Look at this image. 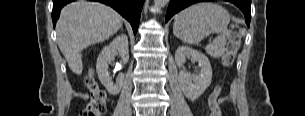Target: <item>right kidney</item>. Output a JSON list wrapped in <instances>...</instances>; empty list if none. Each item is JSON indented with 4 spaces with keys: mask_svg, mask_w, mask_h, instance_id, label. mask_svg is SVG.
I'll return each instance as SVG.
<instances>
[{
    "mask_svg": "<svg viewBox=\"0 0 305 116\" xmlns=\"http://www.w3.org/2000/svg\"><path fill=\"white\" fill-rule=\"evenodd\" d=\"M117 53H119L122 63L126 64L129 60L128 38L126 35L117 36L109 45L105 46L96 63L99 80L112 95L120 92L124 82V75L120 74L116 79V83H113L108 73V63L114 59Z\"/></svg>",
    "mask_w": 305,
    "mask_h": 116,
    "instance_id": "1",
    "label": "right kidney"
}]
</instances>
